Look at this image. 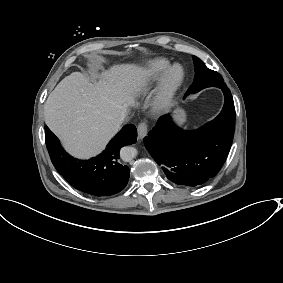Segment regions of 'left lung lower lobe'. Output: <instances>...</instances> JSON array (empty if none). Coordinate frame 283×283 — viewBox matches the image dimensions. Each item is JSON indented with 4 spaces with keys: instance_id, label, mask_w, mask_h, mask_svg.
Segmentation results:
<instances>
[{
    "instance_id": "left-lung-lower-lobe-1",
    "label": "left lung lower lobe",
    "mask_w": 283,
    "mask_h": 283,
    "mask_svg": "<svg viewBox=\"0 0 283 283\" xmlns=\"http://www.w3.org/2000/svg\"><path fill=\"white\" fill-rule=\"evenodd\" d=\"M219 88L225 103L214 120L199 130L184 131L170 115H164L144 138L153 159L175 184L189 187L204 184L220 171L227 158L234 135L235 108L227 86Z\"/></svg>"
}]
</instances>
